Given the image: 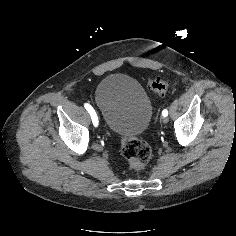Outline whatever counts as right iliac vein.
Wrapping results in <instances>:
<instances>
[{
    "instance_id": "63e3f726",
    "label": "right iliac vein",
    "mask_w": 236,
    "mask_h": 236,
    "mask_svg": "<svg viewBox=\"0 0 236 236\" xmlns=\"http://www.w3.org/2000/svg\"><path fill=\"white\" fill-rule=\"evenodd\" d=\"M95 111H96V114H97V118L98 119H100V121L102 120V118L100 117V115L98 114V112H97V110L95 109ZM101 123H102V121H101Z\"/></svg>"
}]
</instances>
